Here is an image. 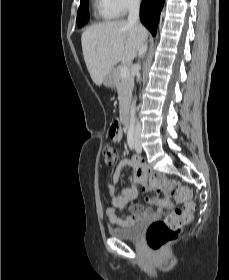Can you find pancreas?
I'll return each mask as SVG.
<instances>
[{"label":"pancreas","mask_w":229,"mask_h":280,"mask_svg":"<svg viewBox=\"0 0 229 280\" xmlns=\"http://www.w3.org/2000/svg\"><path fill=\"white\" fill-rule=\"evenodd\" d=\"M120 70L121 67L115 69V87L118 92L120 113H122L131 99L134 82L130 75L123 78L120 75Z\"/></svg>","instance_id":"pancreas-1"}]
</instances>
